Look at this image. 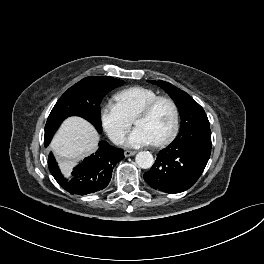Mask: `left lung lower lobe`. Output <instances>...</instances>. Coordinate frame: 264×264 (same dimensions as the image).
Returning a JSON list of instances; mask_svg holds the SVG:
<instances>
[{"label":"left lung lower lobe","instance_id":"left-lung-lower-lobe-1","mask_svg":"<svg viewBox=\"0 0 264 264\" xmlns=\"http://www.w3.org/2000/svg\"><path fill=\"white\" fill-rule=\"evenodd\" d=\"M211 153V130L202 129L173 142L157 154L144 180L152 188L180 193L192 187L202 174Z\"/></svg>","mask_w":264,"mask_h":264}]
</instances>
